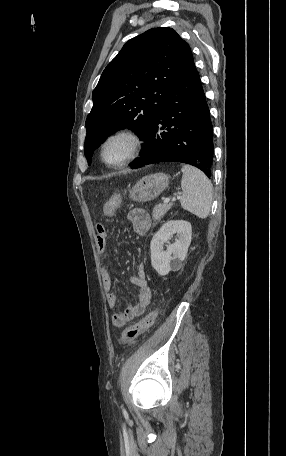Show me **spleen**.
<instances>
[{
    "label": "spleen",
    "instance_id": "1",
    "mask_svg": "<svg viewBox=\"0 0 286 456\" xmlns=\"http://www.w3.org/2000/svg\"><path fill=\"white\" fill-rule=\"evenodd\" d=\"M182 172L181 206L197 217L205 219L209 215L212 203L211 183L202 171L190 165H184Z\"/></svg>",
    "mask_w": 286,
    "mask_h": 456
}]
</instances>
